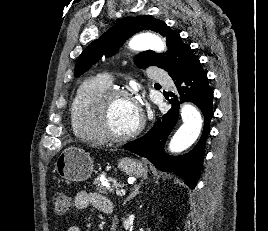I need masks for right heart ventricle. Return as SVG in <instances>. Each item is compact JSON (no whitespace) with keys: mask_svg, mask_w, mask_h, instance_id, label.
I'll return each mask as SVG.
<instances>
[{"mask_svg":"<svg viewBox=\"0 0 268 231\" xmlns=\"http://www.w3.org/2000/svg\"><path fill=\"white\" fill-rule=\"evenodd\" d=\"M110 88V84L101 78L86 79L79 87L69 105L71 126L74 134L96 144H104L103 137L95 122V108L98 98Z\"/></svg>","mask_w":268,"mask_h":231,"instance_id":"obj_1","label":"right heart ventricle"}]
</instances>
